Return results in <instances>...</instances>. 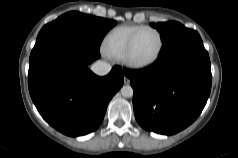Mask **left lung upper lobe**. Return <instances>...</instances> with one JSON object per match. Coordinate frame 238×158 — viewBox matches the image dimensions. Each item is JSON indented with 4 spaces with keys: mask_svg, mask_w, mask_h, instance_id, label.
<instances>
[{
    "mask_svg": "<svg viewBox=\"0 0 238 158\" xmlns=\"http://www.w3.org/2000/svg\"><path fill=\"white\" fill-rule=\"evenodd\" d=\"M151 25L155 27L161 34V39L163 42L161 52H164L183 41L199 36L196 31L188 29L175 21L157 24L152 23Z\"/></svg>",
    "mask_w": 238,
    "mask_h": 158,
    "instance_id": "5c2ea615",
    "label": "left lung upper lobe"
}]
</instances>
